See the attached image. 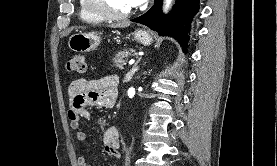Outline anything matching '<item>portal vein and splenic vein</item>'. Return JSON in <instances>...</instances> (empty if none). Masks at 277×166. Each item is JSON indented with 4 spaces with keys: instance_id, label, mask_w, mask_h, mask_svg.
<instances>
[{
    "instance_id": "obj_1",
    "label": "portal vein and splenic vein",
    "mask_w": 277,
    "mask_h": 166,
    "mask_svg": "<svg viewBox=\"0 0 277 166\" xmlns=\"http://www.w3.org/2000/svg\"><path fill=\"white\" fill-rule=\"evenodd\" d=\"M134 62H135V60H134V59H131V60L129 61V65L134 64Z\"/></svg>"
}]
</instances>
